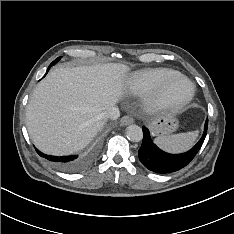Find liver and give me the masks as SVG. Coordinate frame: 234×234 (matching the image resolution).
Segmentation results:
<instances>
[{
    "instance_id": "liver-1",
    "label": "liver",
    "mask_w": 234,
    "mask_h": 234,
    "mask_svg": "<svg viewBox=\"0 0 234 234\" xmlns=\"http://www.w3.org/2000/svg\"><path fill=\"white\" fill-rule=\"evenodd\" d=\"M128 71L121 63L51 71L26 107L27 129L35 146L51 155L84 148L104 126L100 114L122 97Z\"/></svg>"
}]
</instances>
